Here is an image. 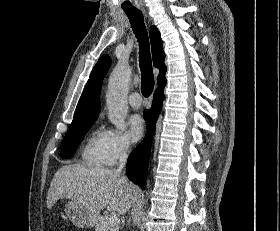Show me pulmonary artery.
<instances>
[{"instance_id": "obj_1", "label": "pulmonary artery", "mask_w": 280, "mask_h": 231, "mask_svg": "<svg viewBox=\"0 0 280 231\" xmlns=\"http://www.w3.org/2000/svg\"><path fill=\"white\" fill-rule=\"evenodd\" d=\"M128 102L133 108H139L142 105L141 97L137 92L129 95Z\"/></svg>"}]
</instances>
